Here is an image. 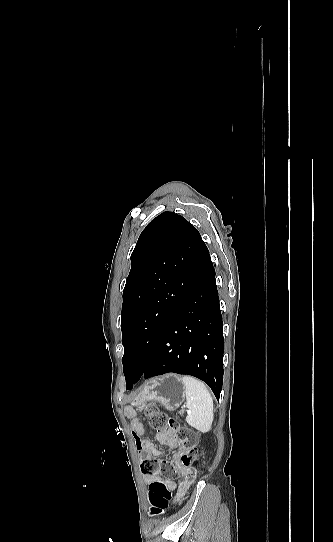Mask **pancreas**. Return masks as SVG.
Masks as SVG:
<instances>
[{"instance_id":"1","label":"pancreas","mask_w":333,"mask_h":542,"mask_svg":"<svg viewBox=\"0 0 333 542\" xmlns=\"http://www.w3.org/2000/svg\"><path fill=\"white\" fill-rule=\"evenodd\" d=\"M180 414H182V416H183L184 412H180Z\"/></svg>"}]
</instances>
